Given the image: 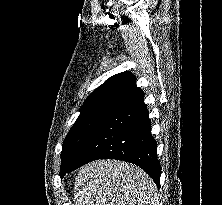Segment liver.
Masks as SVG:
<instances>
[{
    "instance_id": "1",
    "label": "liver",
    "mask_w": 222,
    "mask_h": 205,
    "mask_svg": "<svg viewBox=\"0 0 222 205\" xmlns=\"http://www.w3.org/2000/svg\"><path fill=\"white\" fill-rule=\"evenodd\" d=\"M75 205H159L157 187L139 167L117 160L83 166L75 178Z\"/></svg>"
}]
</instances>
